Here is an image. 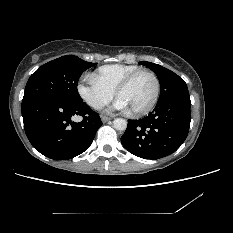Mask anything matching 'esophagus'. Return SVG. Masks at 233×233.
<instances>
[{
    "label": "esophagus",
    "instance_id": "obj_1",
    "mask_svg": "<svg viewBox=\"0 0 233 233\" xmlns=\"http://www.w3.org/2000/svg\"><path fill=\"white\" fill-rule=\"evenodd\" d=\"M101 120H102V122H107V121H110L111 120V118L110 117H106V116H102L101 117Z\"/></svg>",
    "mask_w": 233,
    "mask_h": 233
}]
</instances>
